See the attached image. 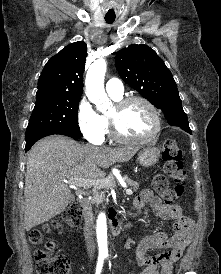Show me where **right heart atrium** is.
I'll return each instance as SVG.
<instances>
[{
    "mask_svg": "<svg viewBox=\"0 0 221 274\" xmlns=\"http://www.w3.org/2000/svg\"><path fill=\"white\" fill-rule=\"evenodd\" d=\"M77 120L86 140L91 143L103 141L106 134V123L86 97H83L78 104Z\"/></svg>",
    "mask_w": 221,
    "mask_h": 274,
    "instance_id": "d8ad5b80",
    "label": "right heart atrium"
}]
</instances>
